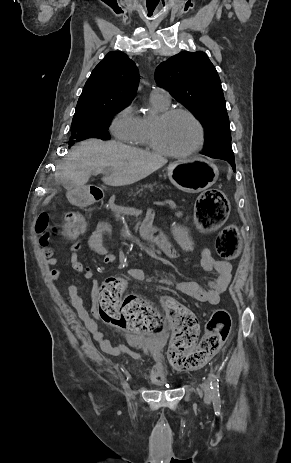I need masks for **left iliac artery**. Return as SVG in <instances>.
<instances>
[{"label": "left iliac artery", "instance_id": "44dca946", "mask_svg": "<svg viewBox=\"0 0 291 463\" xmlns=\"http://www.w3.org/2000/svg\"><path fill=\"white\" fill-rule=\"evenodd\" d=\"M209 379L211 381V389L213 392V399L216 404H220V393H219V379L214 373H209Z\"/></svg>", "mask_w": 291, "mask_h": 463}]
</instances>
